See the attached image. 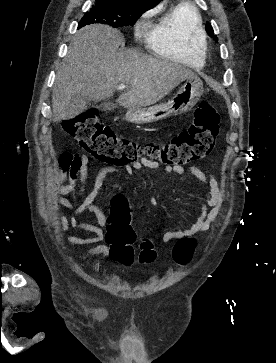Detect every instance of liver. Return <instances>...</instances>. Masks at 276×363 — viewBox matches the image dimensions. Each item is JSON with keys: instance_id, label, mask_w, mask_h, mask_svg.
Here are the masks:
<instances>
[{"instance_id": "6515ba94", "label": "liver", "mask_w": 276, "mask_h": 363, "mask_svg": "<svg viewBox=\"0 0 276 363\" xmlns=\"http://www.w3.org/2000/svg\"><path fill=\"white\" fill-rule=\"evenodd\" d=\"M123 35L112 27L93 24L75 33L52 93L53 122L73 118V97L101 101L113 96L119 83L129 86L117 99L127 109L153 105L196 74L185 66L133 49L118 50Z\"/></svg>"}]
</instances>
